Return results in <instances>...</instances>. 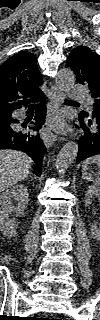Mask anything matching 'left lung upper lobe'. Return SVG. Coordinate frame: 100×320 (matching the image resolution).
<instances>
[{
    "label": "left lung upper lobe",
    "mask_w": 100,
    "mask_h": 320,
    "mask_svg": "<svg viewBox=\"0 0 100 320\" xmlns=\"http://www.w3.org/2000/svg\"><path fill=\"white\" fill-rule=\"evenodd\" d=\"M67 67L76 74L78 83L88 85L94 99L92 115L100 113V57L88 47L80 46L73 49L67 59ZM81 113L87 114L82 111ZM91 115V114H90Z\"/></svg>",
    "instance_id": "1"
}]
</instances>
